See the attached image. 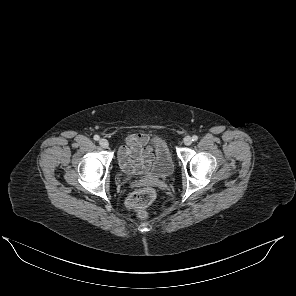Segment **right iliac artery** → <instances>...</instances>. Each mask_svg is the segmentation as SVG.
<instances>
[{"instance_id": "1", "label": "right iliac artery", "mask_w": 296, "mask_h": 296, "mask_svg": "<svg viewBox=\"0 0 296 296\" xmlns=\"http://www.w3.org/2000/svg\"><path fill=\"white\" fill-rule=\"evenodd\" d=\"M93 138L95 141H98L100 139V137L98 135H95Z\"/></svg>"}]
</instances>
